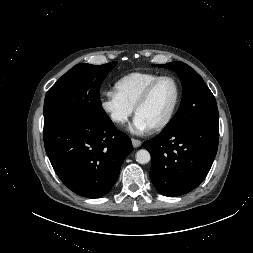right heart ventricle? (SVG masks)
<instances>
[{
    "mask_svg": "<svg viewBox=\"0 0 253 253\" xmlns=\"http://www.w3.org/2000/svg\"><path fill=\"white\" fill-rule=\"evenodd\" d=\"M160 74L153 72H132L121 77L114 85L116 94L132 109L144 90Z\"/></svg>",
    "mask_w": 253,
    "mask_h": 253,
    "instance_id": "obj_1",
    "label": "right heart ventricle"
}]
</instances>
